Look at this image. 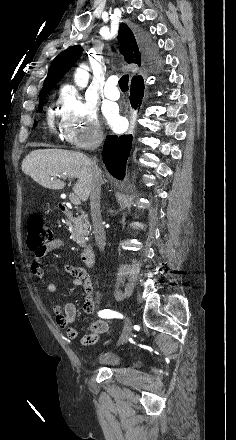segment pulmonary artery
I'll return each mask as SVG.
<instances>
[{
    "mask_svg": "<svg viewBox=\"0 0 236 440\" xmlns=\"http://www.w3.org/2000/svg\"><path fill=\"white\" fill-rule=\"evenodd\" d=\"M104 95L111 100H117L120 97L119 90L117 88V78L111 76L107 79L104 87Z\"/></svg>",
    "mask_w": 236,
    "mask_h": 440,
    "instance_id": "obj_1",
    "label": "pulmonary artery"
}]
</instances>
